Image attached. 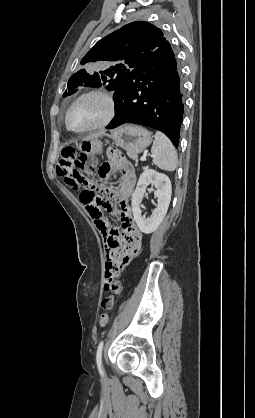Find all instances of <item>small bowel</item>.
Returning <instances> with one entry per match:
<instances>
[{"label": "small bowel", "mask_w": 255, "mask_h": 418, "mask_svg": "<svg viewBox=\"0 0 255 418\" xmlns=\"http://www.w3.org/2000/svg\"><path fill=\"white\" fill-rule=\"evenodd\" d=\"M107 161L108 163L102 166L100 173L104 175L113 170L120 174V188L118 190L110 189L107 193L111 199L118 203L119 216L124 227L133 221L129 199L135 187L136 176L131 165L124 160L121 147H108ZM112 208L115 210L113 206ZM102 220L106 223L103 218ZM95 224L104 237L102 246L105 249L106 258L101 309L102 311H112L115 300L120 297L121 282L117 280H123L125 269L128 268L131 261H135L136 256H139L142 231L140 228L110 227L107 223L103 230L98 227L97 222Z\"/></svg>", "instance_id": "obj_1"}]
</instances>
